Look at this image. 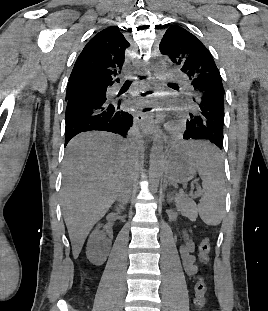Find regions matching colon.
<instances>
[{
	"label": "colon",
	"instance_id": "colon-1",
	"mask_svg": "<svg viewBox=\"0 0 268 311\" xmlns=\"http://www.w3.org/2000/svg\"><path fill=\"white\" fill-rule=\"evenodd\" d=\"M199 257L200 260L204 263H207L209 260V255L211 252V242L209 238H204L199 244ZM206 283L203 278H199L194 286V303L198 309H202L206 302Z\"/></svg>",
	"mask_w": 268,
	"mask_h": 311
}]
</instances>
